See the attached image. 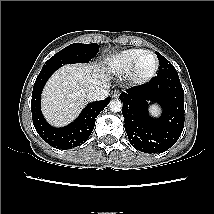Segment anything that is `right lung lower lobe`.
<instances>
[{"instance_id": "98d812e1", "label": "right lung lower lobe", "mask_w": 214, "mask_h": 214, "mask_svg": "<svg viewBox=\"0 0 214 214\" xmlns=\"http://www.w3.org/2000/svg\"><path fill=\"white\" fill-rule=\"evenodd\" d=\"M59 67L42 68L33 87L31 110L34 127L40 137L49 145L59 149H72L83 144L94 129L95 119L108 105L110 97L102 101L89 103L79 117L68 126L54 128L49 125L41 113V93L49 77Z\"/></svg>"}]
</instances>
